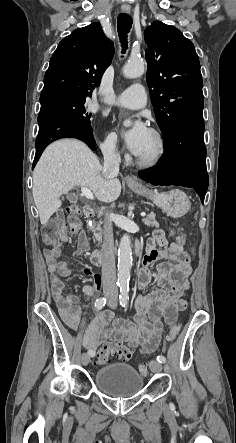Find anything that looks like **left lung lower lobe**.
Wrapping results in <instances>:
<instances>
[{
  "mask_svg": "<svg viewBox=\"0 0 236 443\" xmlns=\"http://www.w3.org/2000/svg\"><path fill=\"white\" fill-rule=\"evenodd\" d=\"M203 116L177 120L164 135L165 153L159 165L139 176L153 185H181L193 188L202 203L209 184L206 170Z\"/></svg>",
  "mask_w": 236,
  "mask_h": 443,
  "instance_id": "left-lung-lower-lobe-1",
  "label": "left lung lower lobe"
}]
</instances>
